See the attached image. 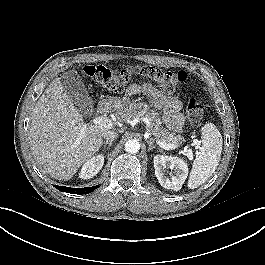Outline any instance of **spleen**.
Masks as SVG:
<instances>
[{
    "label": "spleen",
    "mask_w": 265,
    "mask_h": 265,
    "mask_svg": "<svg viewBox=\"0 0 265 265\" xmlns=\"http://www.w3.org/2000/svg\"><path fill=\"white\" fill-rule=\"evenodd\" d=\"M202 145L193 162L188 188H198L215 172L222 152V136L216 126L207 123L202 127Z\"/></svg>",
    "instance_id": "spleen-1"
}]
</instances>
